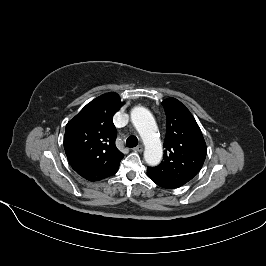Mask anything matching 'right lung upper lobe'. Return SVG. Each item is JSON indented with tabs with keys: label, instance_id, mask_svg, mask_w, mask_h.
Instances as JSON below:
<instances>
[{
	"label": "right lung upper lobe",
	"instance_id": "obj_1",
	"mask_svg": "<svg viewBox=\"0 0 266 266\" xmlns=\"http://www.w3.org/2000/svg\"><path fill=\"white\" fill-rule=\"evenodd\" d=\"M118 94H103L88 103L66 125L64 149L72 168L97 181L115 174L124 154L116 145L113 115L123 106Z\"/></svg>",
	"mask_w": 266,
	"mask_h": 266
}]
</instances>
